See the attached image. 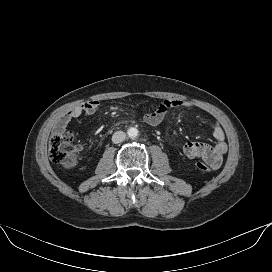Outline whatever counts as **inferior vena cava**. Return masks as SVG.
I'll return each instance as SVG.
<instances>
[{
  "mask_svg": "<svg viewBox=\"0 0 272 272\" xmlns=\"http://www.w3.org/2000/svg\"><path fill=\"white\" fill-rule=\"evenodd\" d=\"M126 134L123 131H117L112 136V142L115 144L121 143L125 140Z\"/></svg>",
  "mask_w": 272,
  "mask_h": 272,
  "instance_id": "inferior-vena-cava-1",
  "label": "inferior vena cava"
}]
</instances>
